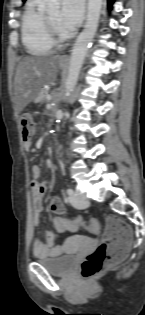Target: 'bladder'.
Returning a JSON list of instances; mask_svg holds the SVG:
<instances>
[{
    "mask_svg": "<svg viewBox=\"0 0 145 315\" xmlns=\"http://www.w3.org/2000/svg\"><path fill=\"white\" fill-rule=\"evenodd\" d=\"M76 249H93V248H76ZM38 263L42 264L50 273L63 276L68 274L77 263V256H67L66 254L55 258H37Z\"/></svg>",
    "mask_w": 145,
    "mask_h": 315,
    "instance_id": "1",
    "label": "bladder"
}]
</instances>
